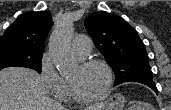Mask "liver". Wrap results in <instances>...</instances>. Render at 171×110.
Returning <instances> with one entry per match:
<instances>
[{"mask_svg":"<svg viewBox=\"0 0 171 110\" xmlns=\"http://www.w3.org/2000/svg\"><path fill=\"white\" fill-rule=\"evenodd\" d=\"M101 104L86 110L99 108ZM0 110H66L51 100L42 77L34 70L10 67L0 71Z\"/></svg>","mask_w":171,"mask_h":110,"instance_id":"6515ba94","label":"liver"}]
</instances>
